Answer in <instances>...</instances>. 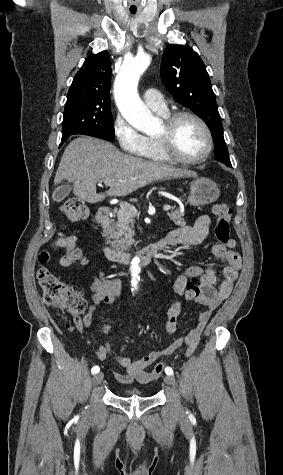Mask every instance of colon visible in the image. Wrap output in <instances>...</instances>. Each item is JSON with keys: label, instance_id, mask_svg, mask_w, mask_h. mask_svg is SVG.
Masks as SVG:
<instances>
[{"label": "colon", "instance_id": "1", "mask_svg": "<svg viewBox=\"0 0 283 475\" xmlns=\"http://www.w3.org/2000/svg\"><path fill=\"white\" fill-rule=\"evenodd\" d=\"M65 218L70 221H83L89 216V208L86 203L77 198H68L61 209ZM213 214L216 222L213 226L215 239L220 244H225L230 239V220L232 217L231 207L223 202H217L213 206ZM56 246L66 251L65 255L60 259L63 267H69L75 263H80L82 253L73 242L61 237L57 240ZM43 262L49 260V256L44 253L41 256ZM37 280L43 290L45 304L50 308L59 311L67 317V331L78 329L82 322V316L87 312L88 303L78 286H72L63 282L55 273L49 269H41L37 271ZM203 277L195 275L194 283L186 286L184 294L188 302L194 301L203 287ZM180 304L175 303L169 307L166 318V330L169 334H173L178 330L179 326Z\"/></svg>", "mask_w": 283, "mask_h": 475}]
</instances>
